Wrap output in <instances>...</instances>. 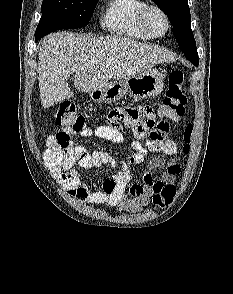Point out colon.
<instances>
[{"mask_svg":"<svg viewBox=\"0 0 233 294\" xmlns=\"http://www.w3.org/2000/svg\"><path fill=\"white\" fill-rule=\"evenodd\" d=\"M186 103L187 96L184 86V74L182 70L175 69L169 75V84L158 110L159 115L165 119L177 121L184 115ZM55 122L62 129L55 134L56 144L53 148L54 153L69 149L72 146L71 134L73 132H80L87 127L84 116L70 102H63L59 105L55 113ZM192 131L193 126L188 124L183 132V152L185 155L190 151ZM176 193L175 186H166L154 195L153 202L159 207H165L172 203Z\"/></svg>","mask_w":233,"mask_h":294,"instance_id":"obj_1","label":"colon"}]
</instances>
